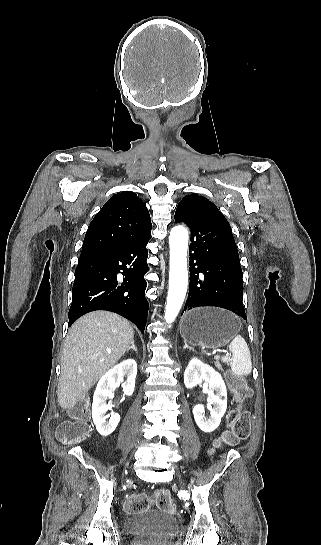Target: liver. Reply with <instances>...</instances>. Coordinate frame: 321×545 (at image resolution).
I'll return each instance as SVG.
<instances>
[{"label":"liver","instance_id":"obj_1","mask_svg":"<svg viewBox=\"0 0 321 545\" xmlns=\"http://www.w3.org/2000/svg\"><path fill=\"white\" fill-rule=\"evenodd\" d=\"M134 331L123 317L94 311L72 325L61 357L58 401L72 409L129 349Z\"/></svg>","mask_w":321,"mask_h":545}]
</instances>
